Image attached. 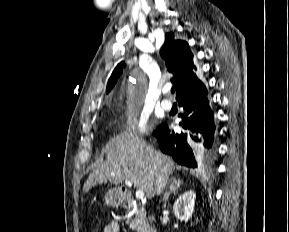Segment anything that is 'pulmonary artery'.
Here are the masks:
<instances>
[{"label":"pulmonary artery","mask_w":289,"mask_h":232,"mask_svg":"<svg viewBox=\"0 0 289 232\" xmlns=\"http://www.w3.org/2000/svg\"><path fill=\"white\" fill-rule=\"evenodd\" d=\"M164 93H167L168 92V88H165L164 90ZM161 107L164 109V110H170L172 108V102L171 100L169 99H163L161 101Z\"/></svg>","instance_id":"e3ab8cb5"}]
</instances>
